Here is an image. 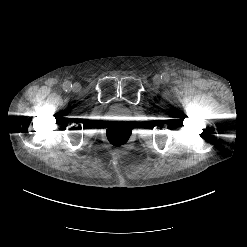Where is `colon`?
Returning a JSON list of instances; mask_svg holds the SVG:
<instances>
[{
	"label": "colon",
	"mask_w": 247,
	"mask_h": 247,
	"mask_svg": "<svg viewBox=\"0 0 247 247\" xmlns=\"http://www.w3.org/2000/svg\"><path fill=\"white\" fill-rule=\"evenodd\" d=\"M105 141L112 147H126L133 141L132 129L128 126L110 128L105 133Z\"/></svg>",
	"instance_id": "colon-1"
}]
</instances>
